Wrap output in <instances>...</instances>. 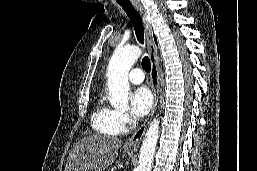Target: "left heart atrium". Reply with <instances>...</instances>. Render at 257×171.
<instances>
[{
	"mask_svg": "<svg viewBox=\"0 0 257 171\" xmlns=\"http://www.w3.org/2000/svg\"><path fill=\"white\" fill-rule=\"evenodd\" d=\"M153 96L147 87H139L130 95V112L135 118L144 117L151 109Z\"/></svg>",
	"mask_w": 257,
	"mask_h": 171,
	"instance_id": "39dd6f15",
	"label": "left heart atrium"
}]
</instances>
